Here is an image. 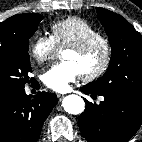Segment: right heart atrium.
I'll return each mask as SVG.
<instances>
[{"instance_id": "right-heart-atrium-1", "label": "right heart atrium", "mask_w": 142, "mask_h": 142, "mask_svg": "<svg viewBox=\"0 0 142 142\" xmlns=\"http://www.w3.org/2000/svg\"><path fill=\"white\" fill-rule=\"evenodd\" d=\"M31 57L39 64L54 60L58 54V46L51 35L37 34L29 46Z\"/></svg>"}]
</instances>
